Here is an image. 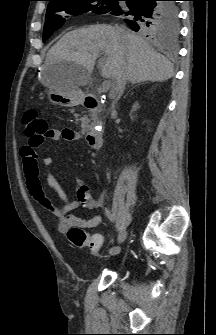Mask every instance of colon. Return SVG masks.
I'll return each instance as SVG.
<instances>
[{
    "instance_id": "obj_1",
    "label": "colon",
    "mask_w": 216,
    "mask_h": 335,
    "mask_svg": "<svg viewBox=\"0 0 216 335\" xmlns=\"http://www.w3.org/2000/svg\"><path fill=\"white\" fill-rule=\"evenodd\" d=\"M24 134L29 139V147L36 149L40 147L48 132V122L41 117L37 111L29 110L23 116ZM69 241L78 248H89L95 252L100 249L102 239L90 236L80 227H72L68 230Z\"/></svg>"
}]
</instances>
